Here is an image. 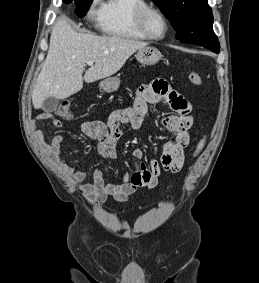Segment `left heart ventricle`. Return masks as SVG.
<instances>
[{
	"label": "left heart ventricle",
	"instance_id": "obj_1",
	"mask_svg": "<svg viewBox=\"0 0 259 283\" xmlns=\"http://www.w3.org/2000/svg\"><path fill=\"white\" fill-rule=\"evenodd\" d=\"M149 30L152 35L160 37L165 32V24L163 20L157 15H151L148 20Z\"/></svg>",
	"mask_w": 259,
	"mask_h": 283
}]
</instances>
